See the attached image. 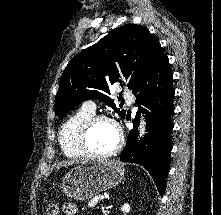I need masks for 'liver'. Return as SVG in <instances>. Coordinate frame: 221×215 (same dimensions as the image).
Returning <instances> with one entry per match:
<instances>
[{
    "mask_svg": "<svg viewBox=\"0 0 221 215\" xmlns=\"http://www.w3.org/2000/svg\"><path fill=\"white\" fill-rule=\"evenodd\" d=\"M73 163H74L73 161H66V162L60 163V164L58 165V168H59V167H63V166H68V165H71V164H73Z\"/></svg>",
    "mask_w": 221,
    "mask_h": 215,
    "instance_id": "1",
    "label": "liver"
}]
</instances>
